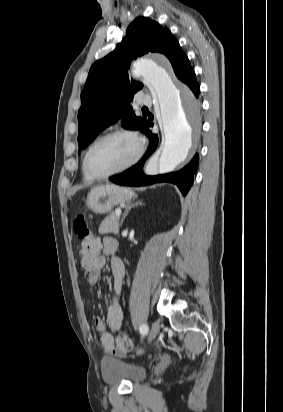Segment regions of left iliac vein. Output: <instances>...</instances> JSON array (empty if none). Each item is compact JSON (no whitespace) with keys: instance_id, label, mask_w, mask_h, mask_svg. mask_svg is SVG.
<instances>
[{"instance_id":"4c4485c4","label":"left iliac vein","mask_w":283,"mask_h":412,"mask_svg":"<svg viewBox=\"0 0 283 412\" xmlns=\"http://www.w3.org/2000/svg\"><path fill=\"white\" fill-rule=\"evenodd\" d=\"M159 331H160L159 321H155V322L152 324V327H151V329H150V331H149L148 340H149V341H152V340L158 335Z\"/></svg>"}]
</instances>
